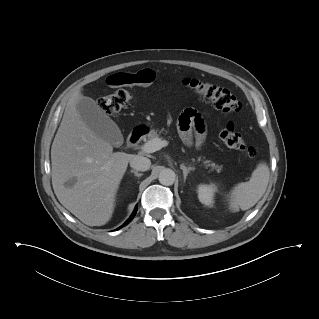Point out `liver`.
<instances>
[{
    "label": "liver",
    "instance_id": "obj_1",
    "mask_svg": "<svg viewBox=\"0 0 319 319\" xmlns=\"http://www.w3.org/2000/svg\"><path fill=\"white\" fill-rule=\"evenodd\" d=\"M80 90L68 100L51 147L52 186L59 202L89 226L112 217L115 197L132 154L113 153L112 145L95 135L81 119L76 105ZM71 178V187L65 183Z\"/></svg>",
    "mask_w": 319,
    "mask_h": 319
}]
</instances>
